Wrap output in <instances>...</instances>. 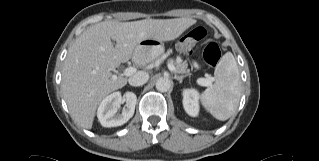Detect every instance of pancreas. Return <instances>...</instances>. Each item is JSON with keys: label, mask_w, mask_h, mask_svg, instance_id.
Wrapping results in <instances>:
<instances>
[{"label": "pancreas", "mask_w": 319, "mask_h": 161, "mask_svg": "<svg viewBox=\"0 0 319 161\" xmlns=\"http://www.w3.org/2000/svg\"><path fill=\"white\" fill-rule=\"evenodd\" d=\"M170 63L175 66V72L178 74H185V76H190V70L188 69V64L183 62L180 57H177L176 60L170 59Z\"/></svg>", "instance_id": "pancreas-1"}]
</instances>
